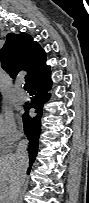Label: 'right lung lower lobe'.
<instances>
[{
	"instance_id": "1",
	"label": "right lung lower lobe",
	"mask_w": 89,
	"mask_h": 203,
	"mask_svg": "<svg viewBox=\"0 0 89 203\" xmlns=\"http://www.w3.org/2000/svg\"><path fill=\"white\" fill-rule=\"evenodd\" d=\"M52 85L50 69L38 76L29 86L35 93L30 105H25V113L23 115L24 131L30 141L28 153L30 164L35 160L38 150V139L41 131V117L43 113V104L47 102L50 97L48 91ZM35 109L37 115L30 117L28 115L29 109ZM30 168L28 169V174Z\"/></svg>"
}]
</instances>
